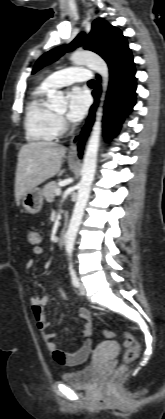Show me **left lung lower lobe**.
Here are the masks:
<instances>
[{
	"mask_svg": "<svg viewBox=\"0 0 165 419\" xmlns=\"http://www.w3.org/2000/svg\"><path fill=\"white\" fill-rule=\"evenodd\" d=\"M110 82L104 105L103 128L105 137L109 140L116 136L129 111L135 105L136 78L135 64L131 50L125 51L122 56L110 67ZM100 80V76H98ZM101 93L100 84L93 91L95 103L90 108V114L79 140V156L82 155L83 142L88 136L94 122V113Z\"/></svg>",
	"mask_w": 165,
	"mask_h": 419,
	"instance_id": "0a47b994",
	"label": "left lung lower lobe"
}]
</instances>
